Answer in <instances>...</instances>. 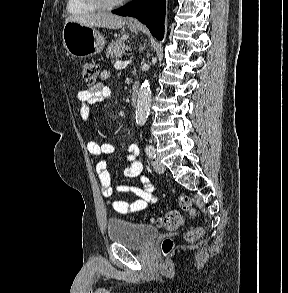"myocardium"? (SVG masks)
I'll list each match as a JSON object with an SVG mask.
<instances>
[{
    "label": "myocardium",
    "mask_w": 288,
    "mask_h": 293,
    "mask_svg": "<svg viewBox=\"0 0 288 293\" xmlns=\"http://www.w3.org/2000/svg\"><path fill=\"white\" fill-rule=\"evenodd\" d=\"M92 3L102 7V8H110L121 5L125 0H89Z\"/></svg>",
    "instance_id": "obj_1"
}]
</instances>
